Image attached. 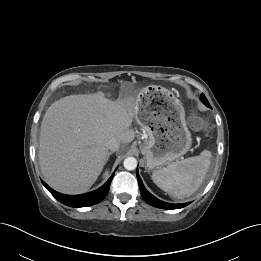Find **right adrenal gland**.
Listing matches in <instances>:
<instances>
[{"label":"right adrenal gland","instance_id":"2a0ac1e0","mask_svg":"<svg viewBox=\"0 0 261 261\" xmlns=\"http://www.w3.org/2000/svg\"><path fill=\"white\" fill-rule=\"evenodd\" d=\"M113 154V152H110L109 154H108V158L110 157V155H112Z\"/></svg>","mask_w":261,"mask_h":261}]
</instances>
